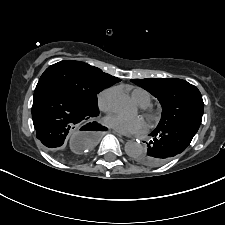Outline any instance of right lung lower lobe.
<instances>
[{"label":"right lung lower lobe","mask_w":225,"mask_h":225,"mask_svg":"<svg viewBox=\"0 0 225 225\" xmlns=\"http://www.w3.org/2000/svg\"><path fill=\"white\" fill-rule=\"evenodd\" d=\"M98 114L81 106L60 87L46 81H39L32 106V119L36 137L49 149L60 148L68 135L82 121ZM92 130H104L105 127L89 123ZM72 159V157H68Z\"/></svg>","instance_id":"obj_1"}]
</instances>
